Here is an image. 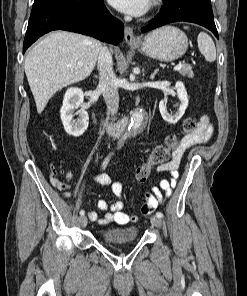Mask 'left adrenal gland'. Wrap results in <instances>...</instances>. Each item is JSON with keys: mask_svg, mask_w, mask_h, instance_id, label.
I'll use <instances>...</instances> for the list:
<instances>
[{"mask_svg": "<svg viewBox=\"0 0 247 296\" xmlns=\"http://www.w3.org/2000/svg\"><path fill=\"white\" fill-rule=\"evenodd\" d=\"M157 73H158V70H155V71L151 74L150 79H151V80H154V79H155V76L157 75Z\"/></svg>", "mask_w": 247, "mask_h": 296, "instance_id": "a2214340", "label": "left adrenal gland"}]
</instances>
